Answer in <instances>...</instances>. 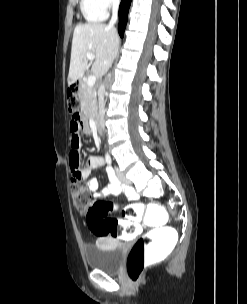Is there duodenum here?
<instances>
[{"label":"duodenum","instance_id":"duodenum-1","mask_svg":"<svg viewBox=\"0 0 247 304\" xmlns=\"http://www.w3.org/2000/svg\"><path fill=\"white\" fill-rule=\"evenodd\" d=\"M76 86H78V88L81 90L83 89V86L81 85V79L79 78L77 81H76ZM96 120H95V124L97 126V129H100V126H99V121L98 119L100 118L98 115H96L94 117ZM94 122V121H93Z\"/></svg>","mask_w":247,"mask_h":304}]
</instances>
